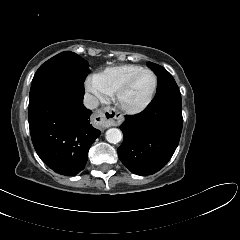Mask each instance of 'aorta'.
<instances>
[{
  "label": "aorta",
  "instance_id": "1",
  "mask_svg": "<svg viewBox=\"0 0 240 240\" xmlns=\"http://www.w3.org/2000/svg\"><path fill=\"white\" fill-rule=\"evenodd\" d=\"M106 140L109 143L117 144L122 140V132L117 128H111L106 131Z\"/></svg>",
  "mask_w": 240,
  "mask_h": 240
}]
</instances>
